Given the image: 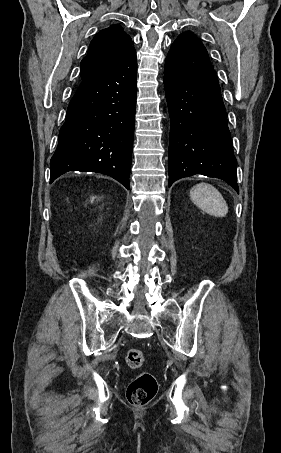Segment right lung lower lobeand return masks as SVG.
<instances>
[{
    "label": "right lung lower lobe",
    "instance_id": "obj_1",
    "mask_svg": "<svg viewBox=\"0 0 281 453\" xmlns=\"http://www.w3.org/2000/svg\"><path fill=\"white\" fill-rule=\"evenodd\" d=\"M136 76L135 52L110 72L81 81L50 161V183L68 171L97 172L129 189Z\"/></svg>",
    "mask_w": 281,
    "mask_h": 453
}]
</instances>
